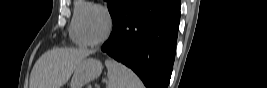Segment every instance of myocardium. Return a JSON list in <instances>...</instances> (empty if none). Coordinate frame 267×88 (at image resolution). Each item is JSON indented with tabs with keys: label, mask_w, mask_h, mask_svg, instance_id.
I'll use <instances>...</instances> for the list:
<instances>
[{
	"label": "myocardium",
	"mask_w": 267,
	"mask_h": 88,
	"mask_svg": "<svg viewBox=\"0 0 267 88\" xmlns=\"http://www.w3.org/2000/svg\"><path fill=\"white\" fill-rule=\"evenodd\" d=\"M91 10L100 11L105 16V19H106V32H105L104 36L101 39H99L98 41H94V42L90 41L87 38V36L85 35V31H84V20L86 19L88 13ZM112 26H113V21H112V16H111L109 10L102 5L94 4L92 7L85 10L83 12V14L81 15L80 21H79V33H80V36L83 39V41L86 43V45L98 46V45L103 44L108 39V37L110 36L111 31H112Z\"/></svg>",
	"instance_id": "obj_1"
}]
</instances>
